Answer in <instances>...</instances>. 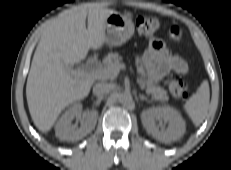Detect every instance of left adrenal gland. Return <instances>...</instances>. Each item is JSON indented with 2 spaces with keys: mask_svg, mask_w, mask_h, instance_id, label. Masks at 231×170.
Wrapping results in <instances>:
<instances>
[{
  "mask_svg": "<svg viewBox=\"0 0 231 170\" xmlns=\"http://www.w3.org/2000/svg\"><path fill=\"white\" fill-rule=\"evenodd\" d=\"M139 98H140V100H146V101L150 102V101L148 100V98L145 97L144 95L139 94Z\"/></svg>",
  "mask_w": 231,
  "mask_h": 170,
  "instance_id": "a2214340",
  "label": "left adrenal gland"
}]
</instances>
